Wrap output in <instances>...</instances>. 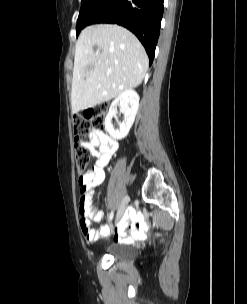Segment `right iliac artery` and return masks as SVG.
<instances>
[{"label":"right iliac artery","instance_id":"82829eb1","mask_svg":"<svg viewBox=\"0 0 247 304\" xmlns=\"http://www.w3.org/2000/svg\"><path fill=\"white\" fill-rule=\"evenodd\" d=\"M113 216H114V213H113V211H112V212L110 213V215H109V221H112Z\"/></svg>","mask_w":247,"mask_h":304}]
</instances>
